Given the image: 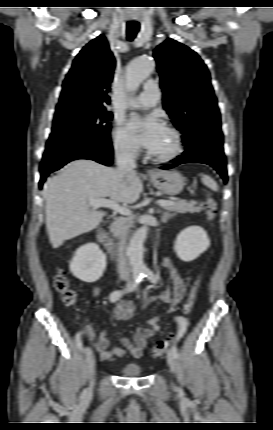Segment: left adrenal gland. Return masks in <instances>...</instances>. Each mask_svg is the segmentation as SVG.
Listing matches in <instances>:
<instances>
[{"instance_id":"1","label":"left adrenal gland","mask_w":273,"mask_h":430,"mask_svg":"<svg viewBox=\"0 0 273 430\" xmlns=\"http://www.w3.org/2000/svg\"><path fill=\"white\" fill-rule=\"evenodd\" d=\"M172 216H173V214L166 213L163 216V220L166 221V220L170 219Z\"/></svg>"}]
</instances>
